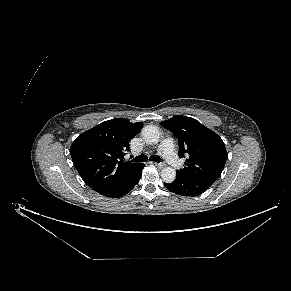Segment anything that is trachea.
Returning a JSON list of instances; mask_svg holds the SVG:
<instances>
[{
	"label": "trachea",
	"mask_w": 291,
	"mask_h": 291,
	"mask_svg": "<svg viewBox=\"0 0 291 291\" xmlns=\"http://www.w3.org/2000/svg\"><path fill=\"white\" fill-rule=\"evenodd\" d=\"M146 155H139L137 157H135L132 162H144L146 160ZM151 161H154V162H157V163H160L161 159L158 155H152L150 158H149Z\"/></svg>",
	"instance_id": "1"
}]
</instances>
